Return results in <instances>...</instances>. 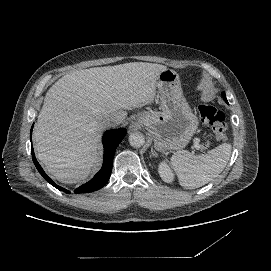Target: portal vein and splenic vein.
<instances>
[{
	"label": "portal vein and splenic vein",
	"instance_id": "1",
	"mask_svg": "<svg viewBox=\"0 0 271 271\" xmlns=\"http://www.w3.org/2000/svg\"><path fill=\"white\" fill-rule=\"evenodd\" d=\"M190 144H191V146H192L193 151H195V152L200 151L201 146H200L199 141H197V140H195V139H192V140L190 141Z\"/></svg>",
	"mask_w": 271,
	"mask_h": 271
}]
</instances>
